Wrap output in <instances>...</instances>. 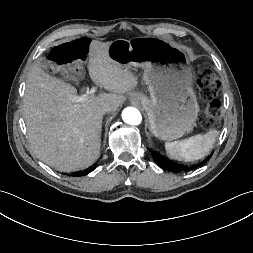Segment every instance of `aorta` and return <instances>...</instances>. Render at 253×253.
I'll return each instance as SVG.
<instances>
[{
  "label": "aorta",
  "instance_id": "obj_1",
  "mask_svg": "<svg viewBox=\"0 0 253 253\" xmlns=\"http://www.w3.org/2000/svg\"><path fill=\"white\" fill-rule=\"evenodd\" d=\"M122 119L129 125H139L142 122V115L138 109L127 107L122 112Z\"/></svg>",
  "mask_w": 253,
  "mask_h": 253
}]
</instances>
